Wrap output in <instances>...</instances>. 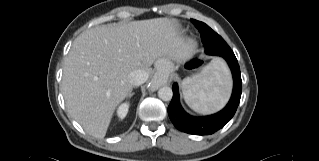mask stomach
Masks as SVG:
<instances>
[{"label":"stomach","instance_id":"obj_1","mask_svg":"<svg viewBox=\"0 0 319 161\" xmlns=\"http://www.w3.org/2000/svg\"><path fill=\"white\" fill-rule=\"evenodd\" d=\"M156 68L161 77L168 78L175 71L176 66L171 58L163 56L156 61Z\"/></svg>","mask_w":319,"mask_h":161}]
</instances>
